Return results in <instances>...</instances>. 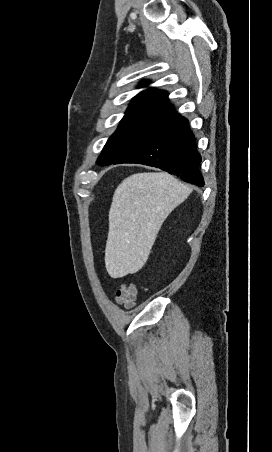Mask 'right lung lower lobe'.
Wrapping results in <instances>:
<instances>
[{"label":"right lung lower lobe","mask_w":272,"mask_h":452,"mask_svg":"<svg viewBox=\"0 0 272 452\" xmlns=\"http://www.w3.org/2000/svg\"><path fill=\"white\" fill-rule=\"evenodd\" d=\"M201 156L188 121L177 112L161 115L124 154L112 164L138 163L179 176L203 186L199 171Z\"/></svg>","instance_id":"right-lung-lower-lobe-1"}]
</instances>
